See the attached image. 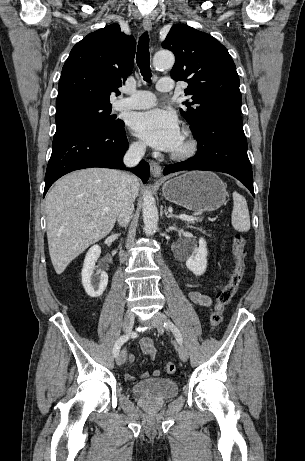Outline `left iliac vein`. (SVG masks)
Masks as SVG:
<instances>
[{
	"mask_svg": "<svg viewBox=\"0 0 305 461\" xmlns=\"http://www.w3.org/2000/svg\"><path fill=\"white\" fill-rule=\"evenodd\" d=\"M167 321L165 314L157 312L154 314L153 318L149 321L150 324L154 325L160 334H163L165 331L164 323ZM178 353L182 361L186 362L188 359L187 348L180 344L178 347Z\"/></svg>",
	"mask_w": 305,
	"mask_h": 461,
	"instance_id": "1",
	"label": "left iliac vein"
}]
</instances>
